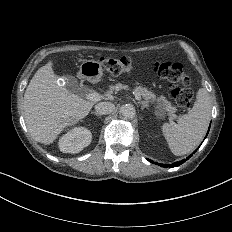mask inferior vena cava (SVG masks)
Here are the masks:
<instances>
[{
  "mask_svg": "<svg viewBox=\"0 0 232 232\" xmlns=\"http://www.w3.org/2000/svg\"><path fill=\"white\" fill-rule=\"evenodd\" d=\"M114 109V104L110 102H100L95 106V110L102 115L111 114Z\"/></svg>",
  "mask_w": 232,
  "mask_h": 232,
  "instance_id": "602c4592",
  "label": "inferior vena cava"
}]
</instances>
